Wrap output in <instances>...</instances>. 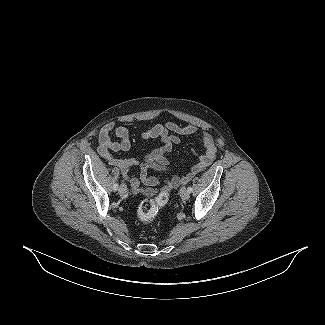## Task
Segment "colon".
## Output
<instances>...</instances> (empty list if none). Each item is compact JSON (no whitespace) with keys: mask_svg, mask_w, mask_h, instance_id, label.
<instances>
[{"mask_svg":"<svg viewBox=\"0 0 325 325\" xmlns=\"http://www.w3.org/2000/svg\"><path fill=\"white\" fill-rule=\"evenodd\" d=\"M170 186L164 187L154 198H147L141 202L138 207L137 216L141 221H150L159 213V211L168 203L170 198ZM150 195L151 190H146Z\"/></svg>","mask_w":325,"mask_h":325,"instance_id":"obj_1","label":"colon"}]
</instances>
